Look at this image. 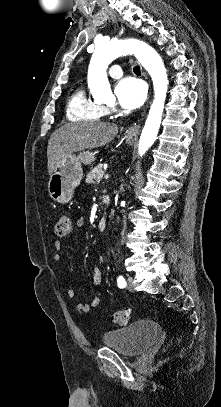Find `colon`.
<instances>
[{"label": "colon", "mask_w": 221, "mask_h": 407, "mask_svg": "<svg viewBox=\"0 0 221 407\" xmlns=\"http://www.w3.org/2000/svg\"><path fill=\"white\" fill-rule=\"evenodd\" d=\"M72 230V221L68 215H61L55 226V231L58 236H67ZM112 321L118 326H125L129 321V312L121 310L113 314Z\"/></svg>", "instance_id": "5ec220e1"}]
</instances>
